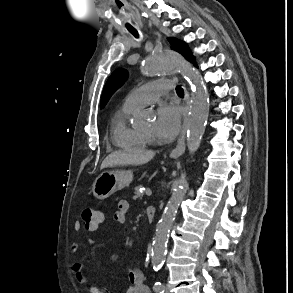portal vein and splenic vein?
<instances>
[{
  "mask_svg": "<svg viewBox=\"0 0 293 293\" xmlns=\"http://www.w3.org/2000/svg\"><path fill=\"white\" fill-rule=\"evenodd\" d=\"M145 194H146L147 196H151V195H152V191H151L150 189H147V190L145 191Z\"/></svg>",
  "mask_w": 293,
  "mask_h": 293,
  "instance_id": "portal-vein-and-splenic-vein-1",
  "label": "portal vein and splenic vein"
}]
</instances>
